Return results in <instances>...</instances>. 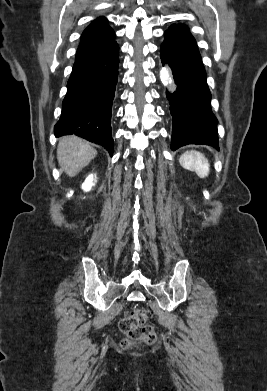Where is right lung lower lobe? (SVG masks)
<instances>
[{
  "instance_id": "98d812e1",
  "label": "right lung lower lobe",
  "mask_w": 267,
  "mask_h": 391,
  "mask_svg": "<svg viewBox=\"0 0 267 391\" xmlns=\"http://www.w3.org/2000/svg\"><path fill=\"white\" fill-rule=\"evenodd\" d=\"M117 43L76 58L67 83L56 137L75 134L100 144L112 155L111 112L118 79Z\"/></svg>"
}]
</instances>
